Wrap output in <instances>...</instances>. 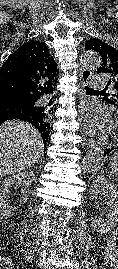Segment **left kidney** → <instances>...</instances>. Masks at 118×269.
Wrapping results in <instances>:
<instances>
[{
	"mask_svg": "<svg viewBox=\"0 0 118 269\" xmlns=\"http://www.w3.org/2000/svg\"><path fill=\"white\" fill-rule=\"evenodd\" d=\"M101 192H106L110 198L108 201V214L106 219L92 217L91 223L98 232L107 233L118 223V188L104 176H98L90 187V199L96 200Z\"/></svg>",
	"mask_w": 118,
	"mask_h": 269,
	"instance_id": "1",
	"label": "left kidney"
}]
</instances>
